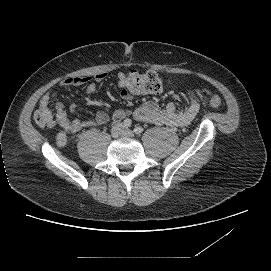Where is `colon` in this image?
Listing matches in <instances>:
<instances>
[{
	"instance_id": "obj_1",
	"label": "colon",
	"mask_w": 271,
	"mask_h": 271,
	"mask_svg": "<svg viewBox=\"0 0 271 271\" xmlns=\"http://www.w3.org/2000/svg\"><path fill=\"white\" fill-rule=\"evenodd\" d=\"M120 86L131 95L160 94L164 89L162 79L153 71L131 70L120 82ZM209 102L215 108L222 106V100L217 95L209 96ZM34 120L40 127L48 126L49 123L46 114L39 110L35 113Z\"/></svg>"
}]
</instances>
